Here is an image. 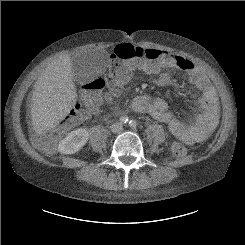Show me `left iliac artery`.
<instances>
[{"instance_id": "obj_1", "label": "left iliac artery", "mask_w": 245, "mask_h": 245, "mask_svg": "<svg viewBox=\"0 0 245 245\" xmlns=\"http://www.w3.org/2000/svg\"><path fill=\"white\" fill-rule=\"evenodd\" d=\"M136 125H137V122H136L135 120H130V121H129V126H130V127L133 128V127H136Z\"/></svg>"}]
</instances>
